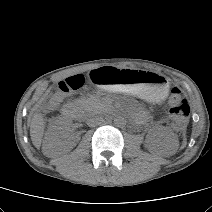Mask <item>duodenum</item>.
<instances>
[{
  "instance_id": "1",
  "label": "duodenum",
  "mask_w": 212,
  "mask_h": 212,
  "mask_svg": "<svg viewBox=\"0 0 212 212\" xmlns=\"http://www.w3.org/2000/svg\"><path fill=\"white\" fill-rule=\"evenodd\" d=\"M63 113L68 118H75L76 117V111H75V108L72 105H66L63 109Z\"/></svg>"
}]
</instances>
